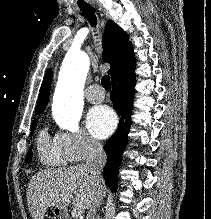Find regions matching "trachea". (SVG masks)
<instances>
[{"mask_svg":"<svg viewBox=\"0 0 211 219\" xmlns=\"http://www.w3.org/2000/svg\"><path fill=\"white\" fill-rule=\"evenodd\" d=\"M80 10L82 11L86 19L89 21L91 26L95 27L97 24V19L93 8L90 5H85V6H80ZM101 84L105 90L107 91L111 90L110 77L108 75H104L102 77Z\"/></svg>","mask_w":211,"mask_h":219,"instance_id":"trachea-1","label":"trachea"}]
</instances>
